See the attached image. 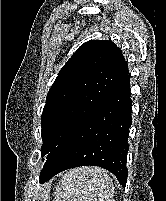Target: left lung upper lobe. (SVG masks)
I'll return each mask as SVG.
<instances>
[{"label": "left lung upper lobe", "instance_id": "5c2ea615", "mask_svg": "<svg viewBox=\"0 0 166 201\" xmlns=\"http://www.w3.org/2000/svg\"><path fill=\"white\" fill-rule=\"evenodd\" d=\"M121 50L111 41L81 45L58 73L41 116V156H50L128 75Z\"/></svg>", "mask_w": 166, "mask_h": 201}]
</instances>
